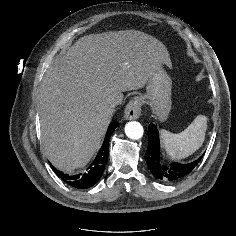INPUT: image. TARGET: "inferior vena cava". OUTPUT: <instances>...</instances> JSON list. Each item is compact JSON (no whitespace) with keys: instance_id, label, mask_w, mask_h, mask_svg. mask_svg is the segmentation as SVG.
I'll use <instances>...</instances> for the list:
<instances>
[{"instance_id":"602c4592","label":"inferior vena cava","mask_w":236,"mask_h":236,"mask_svg":"<svg viewBox=\"0 0 236 236\" xmlns=\"http://www.w3.org/2000/svg\"><path fill=\"white\" fill-rule=\"evenodd\" d=\"M117 104H118V102L112 103V104H111V108L114 109Z\"/></svg>"}]
</instances>
